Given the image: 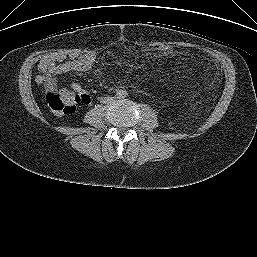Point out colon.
Returning <instances> with one entry per match:
<instances>
[{
  "label": "colon",
  "instance_id": "1",
  "mask_svg": "<svg viewBox=\"0 0 257 257\" xmlns=\"http://www.w3.org/2000/svg\"><path fill=\"white\" fill-rule=\"evenodd\" d=\"M157 50L160 54L166 55L171 52V47L166 44L159 45ZM46 102L49 108L56 114L70 115L73 114L78 105L86 103V98L83 94L74 93L69 90H48L46 93Z\"/></svg>",
  "mask_w": 257,
  "mask_h": 257
}]
</instances>
